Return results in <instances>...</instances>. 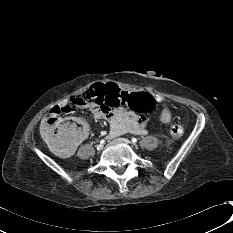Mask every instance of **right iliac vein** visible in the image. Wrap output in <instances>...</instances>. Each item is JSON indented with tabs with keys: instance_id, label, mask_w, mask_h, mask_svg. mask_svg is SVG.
Masks as SVG:
<instances>
[{
	"instance_id": "right-iliac-vein-1",
	"label": "right iliac vein",
	"mask_w": 233,
	"mask_h": 233,
	"mask_svg": "<svg viewBox=\"0 0 233 233\" xmlns=\"http://www.w3.org/2000/svg\"><path fill=\"white\" fill-rule=\"evenodd\" d=\"M102 149H103V145H102V144H99V145L97 146V150L101 151Z\"/></svg>"
}]
</instances>
